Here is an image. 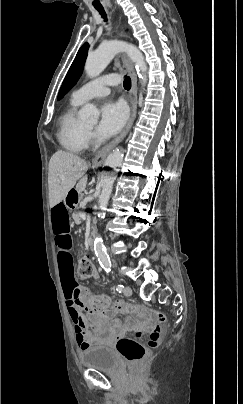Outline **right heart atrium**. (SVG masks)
Returning a JSON list of instances; mask_svg holds the SVG:
<instances>
[{"label": "right heart atrium", "instance_id": "1", "mask_svg": "<svg viewBox=\"0 0 243 404\" xmlns=\"http://www.w3.org/2000/svg\"><path fill=\"white\" fill-rule=\"evenodd\" d=\"M87 141L88 144L91 146H96L98 144V138L93 132H88L87 133Z\"/></svg>", "mask_w": 243, "mask_h": 404}]
</instances>
